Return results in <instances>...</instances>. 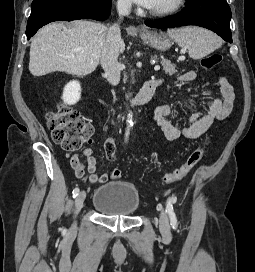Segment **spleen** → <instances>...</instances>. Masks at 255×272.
Returning <instances> with one entry per match:
<instances>
[{
	"label": "spleen",
	"mask_w": 255,
	"mask_h": 272,
	"mask_svg": "<svg viewBox=\"0 0 255 272\" xmlns=\"http://www.w3.org/2000/svg\"><path fill=\"white\" fill-rule=\"evenodd\" d=\"M167 34L179 47L187 49L192 59L205 57L222 44L214 33L201 27L171 29Z\"/></svg>",
	"instance_id": "spleen-1"
}]
</instances>
